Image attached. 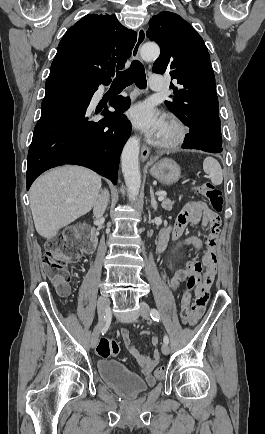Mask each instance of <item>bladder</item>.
Instances as JSON below:
<instances>
[{
	"label": "bladder",
	"instance_id": "1",
	"mask_svg": "<svg viewBox=\"0 0 265 434\" xmlns=\"http://www.w3.org/2000/svg\"><path fill=\"white\" fill-rule=\"evenodd\" d=\"M97 370L104 383L124 397H137L148 388L138 375L119 361L100 360L97 363Z\"/></svg>",
	"mask_w": 265,
	"mask_h": 434
}]
</instances>
